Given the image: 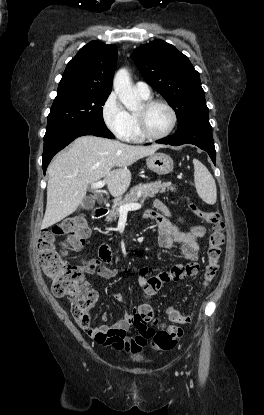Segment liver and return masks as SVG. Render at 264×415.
<instances>
[{"label":"liver","mask_w":264,"mask_h":415,"mask_svg":"<svg viewBox=\"0 0 264 415\" xmlns=\"http://www.w3.org/2000/svg\"><path fill=\"white\" fill-rule=\"evenodd\" d=\"M162 147L128 145L95 136L75 139L48 167L47 205L41 228L46 229L75 212L86 196L88 185L102 178L112 196H122L131 182L128 166Z\"/></svg>","instance_id":"obj_1"}]
</instances>
